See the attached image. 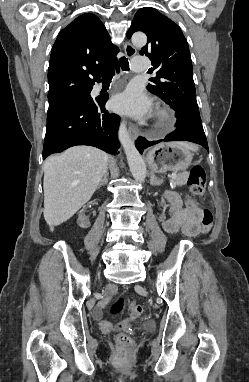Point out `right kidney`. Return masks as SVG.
<instances>
[{
  "label": "right kidney",
  "instance_id": "ca27d5eb",
  "mask_svg": "<svg viewBox=\"0 0 249 382\" xmlns=\"http://www.w3.org/2000/svg\"><path fill=\"white\" fill-rule=\"evenodd\" d=\"M93 201L88 202V204H83L82 205V210L80 211L79 218H78V223L80 227L89 229L90 224L92 223V218L91 217H86L84 212L86 214H93L94 213V208H93Z\"/></svg>",
  "mask_w": 249,
  "mask_h": 382
}]
</instances>
